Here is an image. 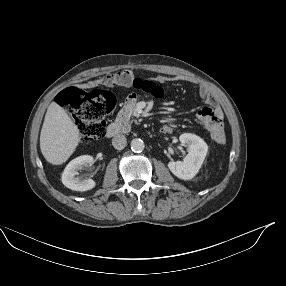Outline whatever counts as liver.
Masks as SVG:
<instances>
[{
  "instance_id": "liver-1",
  "label": "liver",
  "mask_w": 286,
  "mask_h": 286,
  "mask_svg": "<svg viewBox=\"0 0 286 286\" xmlns=\"http://www.w3.org/2000/svg\"><path fill=\"white\" fill-rule=\"evenodd\" d=\"M80 142V132L75 123L56 102H52L45 115L40 134V149L49 163L63 164L73 154Z\"/></svg>"
}]
</instances>
